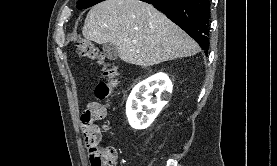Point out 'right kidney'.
Returning a JSON list of instances; mask_svg holds the SVG:
<instances>
[{
  "label": "right kidney",
  "instance_id": "ca27d5eb",
  "mask_svg": "<svg viewBox=\"0 0 277 166\" xmlns=\"http://www.w3.org/2000/svg\"><path fill=\"white\" fill-rule=\"evenodd\" d=\"M172 87L169 77L164 73H157L137 84L126 103V115L131 127H149L170 99ZM154 91L156 99H152ZM143 106L147 111L142 110Z\"/></svg>",
  "mask_w": 277,
  "mask_h": 166
}]
</instances>
